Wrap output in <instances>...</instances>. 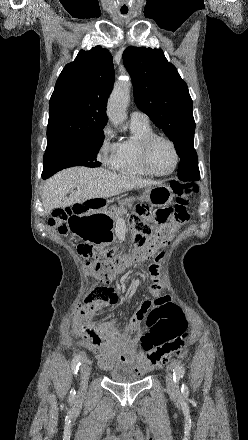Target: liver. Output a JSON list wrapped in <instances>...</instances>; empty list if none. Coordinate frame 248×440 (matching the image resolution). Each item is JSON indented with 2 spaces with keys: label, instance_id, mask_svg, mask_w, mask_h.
<instances>
[{
  "label": "liver",
  "instance_id": "liver-1",
  "mask_svg": "<svg viewBox=\"0 0 248 440\" xmlns=\"http://www.w3.org/2000/svg\"><path fill=\"white\" fill-rule=\"evenodd\" d=\"M158 184L156 181L116 174L103 168L72 167L58 172L46 181L42 190L43 208L50 212L55 208L69 207L96 198H108L128 190Z\"/></svg>",
  "mask_w": 248,
  "mask_h": 440
}]
</instances>
